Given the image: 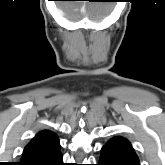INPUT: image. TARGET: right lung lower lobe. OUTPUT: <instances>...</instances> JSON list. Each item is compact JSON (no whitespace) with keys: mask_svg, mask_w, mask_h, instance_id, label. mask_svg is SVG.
<instances>
[{"mask_svg":"<svg viewBox=\"0 0 165 165\" xmlns=\"http://www.w3.org/2000/svg\"><path fill=\"white\" fill-rule=\"evenodd\" d=\"M20 165H64L56 134L43 137L23 153Z\"/></svg>","mask_w":165,"mask_h":165,"instance_id":"obj_1","label":"right lung lower lobe"}]
</instances>
